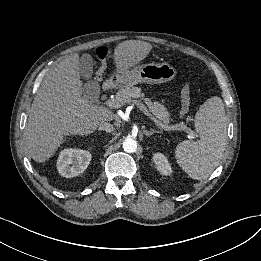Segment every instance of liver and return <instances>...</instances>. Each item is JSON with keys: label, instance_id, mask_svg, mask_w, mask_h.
Here are the masks:
<instances>
[{"label": "liver", "instance_id": "1", "mask_svg": "<svg viewBox=\"0 0 261 261\" xmlns=\"http://www.w3.org/2000/svg\"><path fill=\"white\" fill-rule=\"evenodd\" d=\"M151 49L152 45L144 41L121 42L114 49L115 71L129 74ZM78 63L79 55L73 54L50 69L33 100L25 137L29 154L36 162L52 157L65 136L88 135L101 122L114 117L111 110L82 96Z\"/></svg>", "mask_w": 261, "mask_h": 261}]
</instances>
